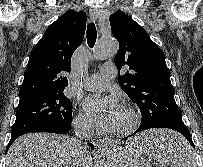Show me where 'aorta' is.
<instances>
[{
    "label": "aorta",
    "mask_w": 203,
    "mask_h": 167,
    "mask_svg": "<svg viewBox=\"0 0 203 167\" xmlns=\"http://www.w3.org/2000/svg\"><path fill=\"white\" fill-rule=\"evenodd\" d=\"M118 49L119 44L114 37L101 38L96 45L93 57L96 60L112 58L116 55ZM101 167H106V164Z\"/></svg>",
    "instance_id": "762f6f07"
}]
</instances>
